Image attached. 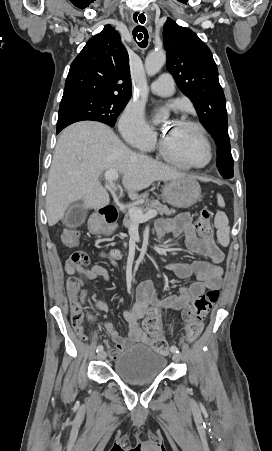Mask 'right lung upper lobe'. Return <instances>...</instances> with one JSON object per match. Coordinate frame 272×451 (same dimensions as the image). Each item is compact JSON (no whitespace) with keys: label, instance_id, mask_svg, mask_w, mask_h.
Instances as JSON below:
<instances>
[{"label":"right lung upper lobe","instance_id":"1","mask_svg":"<svg viewBox=\"0 0 272 451\" xmlns=\"http://www.w3.org/2000/svg\"><path fill=\"white\" fill-rule=\"evenodd\" d=\"M129 57L110 26L92 37L70 66L62 101L85 96L130 99Z\"/></svg>","mask_w":272,"mask_h":451}]
</instances>
